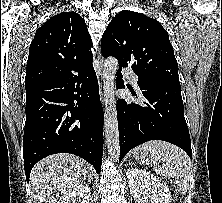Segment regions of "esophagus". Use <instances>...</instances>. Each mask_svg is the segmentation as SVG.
Here are the masks:
<instances>
[{"label":"esophagus","mask_w":222,"mask_h":203,"mask_svg":"<svg viewBox=\"0 0 222 203\" xmlns=\"http://www.w3.org/2000/svg\"><path fill=\"white\" fill-rule=\"evenodd\" d=\"M98 59H99V62L102 64L103 59H102V56H101V54H100V53L98 54ZM101 93H102V92H101Z\"/></svg>","instance_id":"obj_1"}]
</instances>
